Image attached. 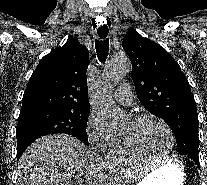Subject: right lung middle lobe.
Returning <instances> with one entry per match:
<instances>
[{
  "label": "right lung middle lobe",
  "mask_w": 207,
  "mask_h": 185,
  "mask_svg": "<svg viewBox=\"0 0 207 185\" xmlns=\"http://www.w3.org/2000/svg\"><path fill=\"white\" fill-rule=\"evenodd\" d=\"M89 112L36 108L20 111L16 130L17 159L37 138L53 133L72 135L88 146Z\"/></svg>",
  "instance_id": "obj_1"
}]
</instances>
